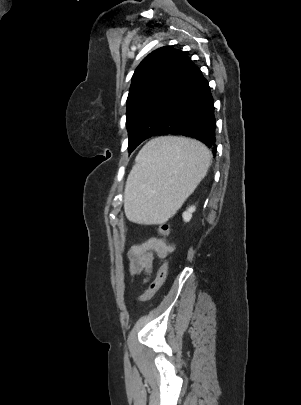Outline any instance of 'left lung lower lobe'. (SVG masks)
<instances>
[{
    "instance_id": "obj_1",
    "label": "left lung lower lobe",
    "mask_w": 301,
    "mask_h": 405,
    "mask_svg": "<svg viewBox=\"0 0 301 405\" xmlns=\"http://www.w3.org/2000/svg\"><path fill=\"white\" fill-rule=\"evenodd\" d=\"M216 121L214 102L208 81L193 64L190 76L181 95L172 104L164 120L152 136L177 135L192 137L204 143L216 154ZM145 137L134 140L131 153Z\"/></svg>"
}]
</instances>
